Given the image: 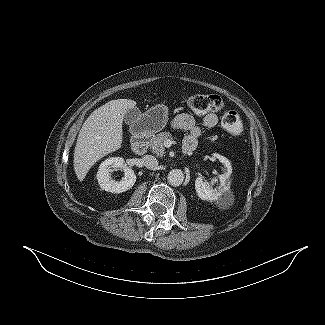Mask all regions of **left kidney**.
Masks as SVG:
<instances>
[{"instance_id": "5707ae66", "label": "left kidney", "mask_w": 325, "mask_h": 325, "mask_svg": "<svg viewBox=\"0 0 325 325\" xmlns=\"http://www.w3.org/2000/svg\"><path fill=\"white\" fill-rule=\"evenodd\" d=\"M213 156L224 165L223 174L219 175L220 186L213 189L210 187L209 183L200 176L195 180V189L198 197L202 200L210 202L221 199L222 196H224L229 191L232 174L231 163L226 157L220 154H214Z\"/></svg>"}]
</instances>
